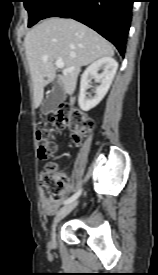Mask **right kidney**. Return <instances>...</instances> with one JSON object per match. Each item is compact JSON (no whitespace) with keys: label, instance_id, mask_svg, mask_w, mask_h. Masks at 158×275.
Instances as JSON below:
<instances>
[{"label":"right kidney","instance_id":"1","mask_svg":"<svg viewBox=\"0 0 158 275\" xmlns=\"http://www.w3.org/2000/svg\"><path fill=\"white\" fill-rule=\"evenodd\" d=\"M118 68V63L112 57L101 58L86 68L81 77L80 94L78 103L83 111H89L97 106L108 92ZM102 69L103 72L98 74ZM96 78L100 85L96 87L94 96H87V89L90 88V81Z\"/></svg>","mask_w":158,"mask_h":275}]
</instances>
